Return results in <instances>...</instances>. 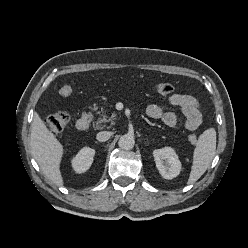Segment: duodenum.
Wrapping results in <instances>:
<instances>
[{
    "mask_svg": "<svg viewBox=\"0 0 248 248\" xmlns=\"http://www.w3.org/2000/svg\"><path fill=\"white\" fill-rule=\"evenodd\" d=\"M91 117L87 114L81 116L77 121V128L80 131L87 130L91 125Z\"/></svg>",
    "mask_w": 248,
    "mask_h": 248,
    "instance_id": "obj_1",
    "label": "duodenum"
}]
</instances>
